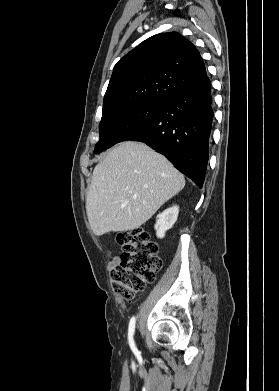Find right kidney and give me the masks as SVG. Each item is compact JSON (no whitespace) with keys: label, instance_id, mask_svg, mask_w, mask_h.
<instances>
[{"label":"right kidney","instance_id":"1","mask_svg":"<svg viewBox=\"0 0 279 391\" xmlns=\"http://www.w3.org/2000/svg\"><path fill=\"white\" fill-rule=\"evenodd\" d=\"M178 213L179 207L174 205L157 216L155 230L158 238H164L166 231L173 227L177 221Z\"/></svg>","mask_w":279,"mask_h":391}]
</instances>
